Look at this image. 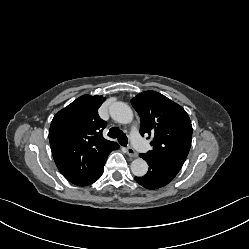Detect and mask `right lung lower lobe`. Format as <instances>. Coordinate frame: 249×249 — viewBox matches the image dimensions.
<instances>
[{"label":"right lung lower lobe","instance_id":"obj_1","mask_svg":"<svg viewBox=\"0 0 249 249\" xmlns=\"http://www.w3.org/2000/svg\"><path fill=\"white\" fill-rule=\"evenodd\" d=\"M118 148H119V145H118L117 147L113 148L112 150L118 149ZM112 150H111V151H112ZM111 151H109V152L103 157V159H102V161H101V163H100V165H99V167H98V169H97L95 175L93 176V178H92L86 185H89V184H91V183H94L96 180H98V179L101 177V175H102V173H103V171H104V164H105L106 159H107V157H108V155H109V153H110ZM84 186H85V185H84Z\"/></svg>","mask_w":249,"mask_h":249}]
</instances>
